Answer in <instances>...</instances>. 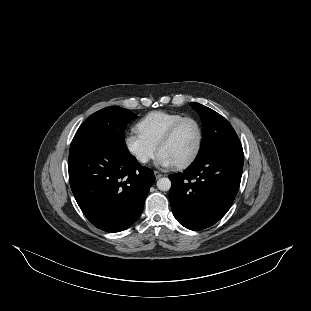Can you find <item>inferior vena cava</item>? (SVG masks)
Listing matches in <instances>:
<instances>
[{
	"mask_svg": "<svg viewBox=\"0 0 311 311\" xmlns=\"http://www.w3.org/2000/svg\"><path fill=\"white\" fill-rule=\"evenodd\" d=\"M139 161H141V162H148V157H146V156H141L140 158H139Z\"/></svg>",
	"mask_w": 311,
	"mask_h": 311,
	"instance_id": "obj_1",
	"label": "inferior vena cava"
}]
</instances>
